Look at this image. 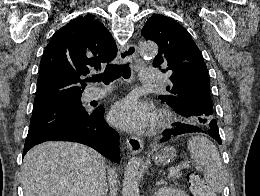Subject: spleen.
I'll list each match as a JSON object with an SVG mask.
<instances>
[{"mask_svg":"<svg viewBox=\"0 0 260 196\" xmlns=\"http://www.w3.org/2000/svg\"><path fill=\"white\" fill-rule=\"evenodd\" d=\"M187 146L193 162L202 166L204 178L208 182L211 192L220 194L224 190L225 174L216 146L204 136H191Z\"/></svg>","mask_w":260,"mask_h":196,"instance_id":"1","label":"spleen"}]
</instances>
